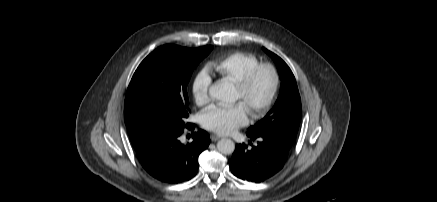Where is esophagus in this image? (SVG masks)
<instances>
[{"label":"esophagus","mask_w":437,"mask_h":202,"mask_svg":"<svg viewBox=\"0 0 437 202\" xmlns=\"http://www.w3.org/2000/svg\"><path fill=\"white\" fill-rule=\"evenodd\" d=\"M210 137H211L212 141H217V140H219L221 138L220 136H218L216 134H212Z\"/></svg>","instance_id":"obj_1"}]
</instances>
